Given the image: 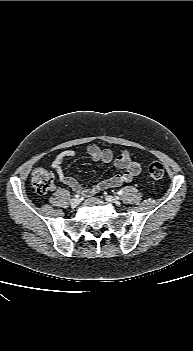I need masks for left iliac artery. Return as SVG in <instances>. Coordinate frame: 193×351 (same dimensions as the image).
<instances>
[{"label": "left iliac artery", "mask_w": 193, "mask_h": 351, "mask_svg": "<svg viewBox=\"0 0 193 351\" xmlns=\"http://www.w3.org/2000/svg\"><path fill=\"white\" fill-rule=\"evenodd\" d=\"M117 194L120 196V195H122V194H123V191H122V190H120V191H118V192H117Z\"/></svg>", "instance_id": "1"}]
</instances>
